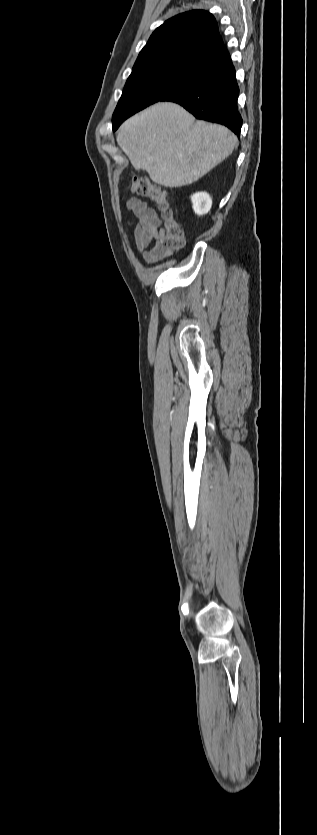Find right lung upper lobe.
<instances>
[{"mask_svg": "<svg viewBox=\"0 0 317 835\" xmlns=\"http://www.w3.org/2000/svg\"><path fill=\"white\" fill-rule=\"evenodd\" d=\"M221 47L223 42L212 14L204 10L185 12L167 20L153 32L132 72Z\"/></svg>", "mask_w": 317, "mask_h": 835, "instance_id": "cb5924a9", "label": "right lung upper lobe"}]
</instances>
